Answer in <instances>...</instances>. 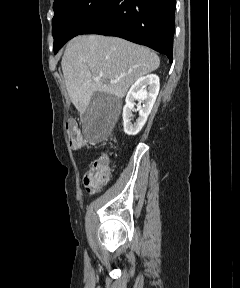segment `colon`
<instances>
[{
    "label": "colon",
    "instance_id": "obj_1",
    "mask_svg": "<svg viewBox=\"0 0 240 288\" xmlns=\"http://www.w3.org/2000/svg\"><path fill=\"white\" fill-rule=\"evenodd\" d=\"M66 130L69 136L70 146L79 149L83 146L84 140L74 120L66 123ZM110 178V160L103 155L93 162L91 169L85 174L83 182L88 192L99 190Z\"/></svg>",
    "mask_w": 240,
    "mask_h": 288
}]
</instances>
